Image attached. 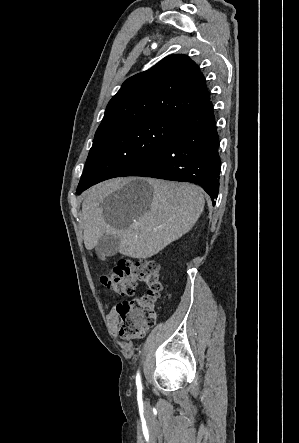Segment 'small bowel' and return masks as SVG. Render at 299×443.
I'll return each mask as SVG.
<instances>
[{
	"label": "small bowel",
	"instance_id": "obj_1",
	"mask_svg": "<svg viewBox=\"0 0 299 443\" xmlns=\"http://www.w3.org/2000/svg\"><path fill=\"white\" fill-rule=\"evenodd\" d=\"M108 325L111 331L117 332L119 328V316L116 308H111L107 313Z\"/></svg>",
	"mask_w": 299,
	"mask_h": 443
}]
</instances>
